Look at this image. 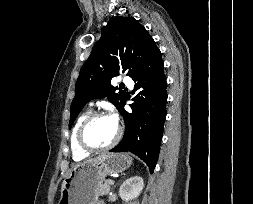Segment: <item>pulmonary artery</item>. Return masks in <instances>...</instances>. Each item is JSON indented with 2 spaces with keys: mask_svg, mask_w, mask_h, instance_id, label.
I'll return each instance as SVG.
<instances>
[{
  "mask_svg": "<svg viewBox=\"0 0 253 204\" xmlns=\"http://www.w3.org/2000/svg\"><path fill=\"white\" fill-rule=\"evenodd\" d=\"M121 82H122L123 84L129 86V87H132V85H133V82H132L131 78L128 77V76H126V75H123V76L121 77Z\"/></svg>",
  "mask_w": 253,
  "mask_h": 204,
  "instance_id": "1",
  "label": "pulmonary artery"
}]
</instances>
